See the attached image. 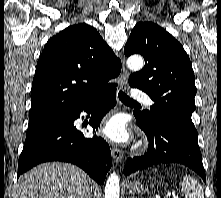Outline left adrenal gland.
Returning <instances> with one entry per match:
<instances>
[{"instance_id":"obj_1","label":"left adrenal gland","mask_w":221,"mask_h":198,"mask_svg":"<svg viewBox=\"0 0 221 198\" xmlns=\"http://www.w3.org/2000/svg\"><path fill=\"white\" fill-rule=\"evenodd\" d=\"M131 198H135L133 195H131Z\"/></svg>"}]
</instances>
